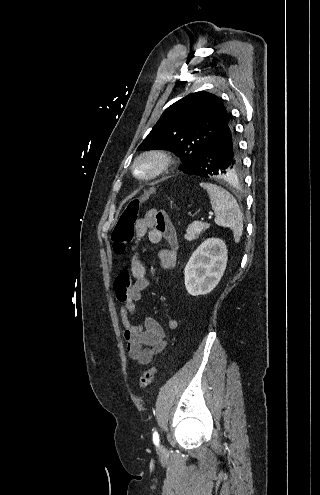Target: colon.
Here are the masks:
<instances>
[{
	"mask_svg": "<svg viewBox=\"0 0 320 495\" xmlns=\"http://www.w3.org/2000/svg\"><path fill=\"white\" fill-rule=\"evenodd\" d=\"M148 197V193L132 197L128 200L125 208L122 210L112 232L113 249L117 254H122L125 251L127 244L131 241L140 208ZM155 372L156 367L153 366L144 371L140 376L139 386L142 389L151 384Z\"/></svg>",
	"mask_w": 320,
	"mask_h": 495,
	"instance_id": "obj_1",
	"label": "colon"
}]
</instances>
